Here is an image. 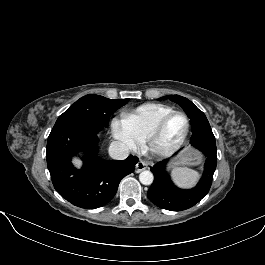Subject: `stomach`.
<instances>
[{"instance_id": "stomach-1", "label": "stomach", "mask_w": 265, "mask_h": 265, "mask_svg": "<svg viewBox=\"0 0 265 265\" xmlns=\"http://www.w3.org/2000/svg\"><path fill=\"white\" fill-rule=\"evenodd\" d=\"M200 162H201V156L198 152L193 150H187L179 156V158L175 162V165L194 166L198 165Z\"/></svg>"}]
</instances>
